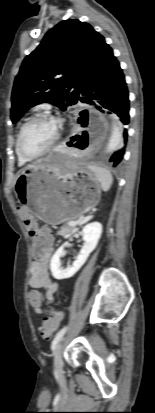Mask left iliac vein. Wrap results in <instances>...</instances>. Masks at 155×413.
Returning <instances> with one entry per match:
<instances>
[{"label":"left iliac vein","mask_w":155,"mask_h":413,"mask_svg":"<svg viewBox=\"0 0 155 413\" xmlns=\"http://www.w3.org/2000/svg\"><path fill=\"white\" fill-rule=\"evenodd\" d=\"M64 338H61L56 345L54 354H53V361H54V367L58 375L63 374V361L61 357L62 353V344H63Z\"/></svg>","instance_id":"left-iliac-vein-1"}]
</instances>
